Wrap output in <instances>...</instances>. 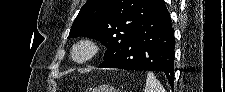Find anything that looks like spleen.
Returning a JSON list of instances; mask_svg holds the SVG:
<instances>
[{"instance_id": "spleen-1", "label": "spleen", "mask_w": 225, "mask_h": 92, "mask_svg": "<svg viewBox=\"0 0 225 92\" xmlns=\"http://www.w3.org/2000/svg\"><path fill=\"white\" fill-rule=\"evenodd\" d=\"M144 92H166L152 72H148Z\"/></svg>"}]
</instances>
